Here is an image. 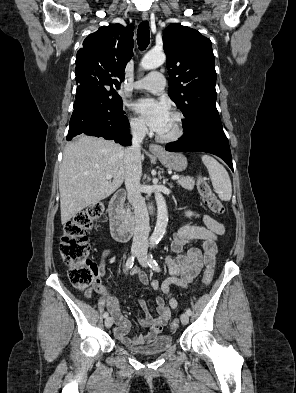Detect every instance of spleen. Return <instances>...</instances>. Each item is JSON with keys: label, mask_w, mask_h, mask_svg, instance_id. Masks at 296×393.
I'll return each mask as SVG.
<instances>
[{"label": "spleen", "mask_w": 296, "mask_h": 393, "mask_svg": "<svg viewBox=\"0 0 296 393\" xmlns=\"http://www.w3.org/2000/svg\"><path fill=\"white\" fill-rule=\"evenodd\" d=\"M201 159L207 167L212 185L218 197L223 201H230L232 196V185L226 169L209 155H203Z\"/></svg>", "instance_id": "obj_1"}]
</instances>
